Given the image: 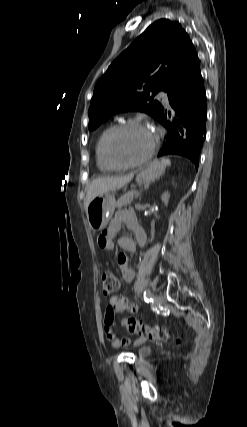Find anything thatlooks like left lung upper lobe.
<instances>
[{
  "label": "left lung upper lobe",
  "mask_w": 247,
  "mask_h": 427,
  "mask_svg": "<svg viewBox=\"0 0 247 427\" xmlns=\"http://www.w3.org/2000/svg\"><path fill=\"white\" fill-rule=\"evenodd\" d=\"M199 62L195 48L178 22L151 24L109 66L90 102L89 130L113 114L142 111L158 119L163 106L153 99L187 77Z\"/></svg>",
  "instance_id": "1"
}]
</instances>
